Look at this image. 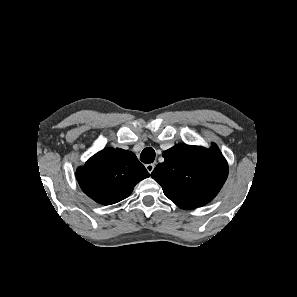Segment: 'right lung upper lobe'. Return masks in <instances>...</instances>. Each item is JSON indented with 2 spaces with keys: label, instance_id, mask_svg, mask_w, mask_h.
Segmentation results:
<instances>
[{
  "label": "right lung upper lobe",
  "instance_id": "cb5924a9",
  "mask_svg": "<svg viewBox=\"0 0 297 297\" xmlns=\"http://www.w3.org/2000/svg\"><path fill=\"white\" fill-rule=\"evenodd\" d=\"M149 176L133 152L119 148L103 149L76 172L84 193L103 205L125 199L139 181Z\"/></svg>",
  "mask_w": 297,
  "mask_h": 297
}]
</instances>
